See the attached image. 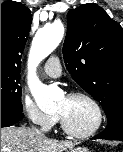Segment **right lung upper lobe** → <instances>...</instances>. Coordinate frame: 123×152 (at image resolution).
I'll use <instances>...</instances> for the list:
<instances>
[{
    "mask_svg": "<svg viewBox=\"0 0 123 152\" xmlns=\"http://www.w3.org/2000/svg\"><path fill=\"white\" fill-rule=\"evenodd\" d=\"M31 21L30 10L22 3L1 4V69L20 70Z\"/></svg>",
    "mask_w": 123,
    "mask_h": 152,
    "instance_id": "right-lung-upper-lobe-1",
    "label": "right lung upper lobe"
}]
</instances>
